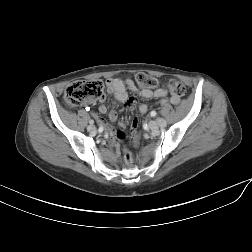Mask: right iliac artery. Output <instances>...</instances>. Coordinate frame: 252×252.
Segmentation results:
<instances>
[{"label": "right iliac artery", "instance_id": "82829eb1", "mask_svg": "<svg viewBox=\"0 0 252 252\" xmlns=\"http://www.w3.org/2000/svg\"><path fill=\"white\" fill-rule=\"evenodd\" d=\"M104 132V128L103 127H100L99 130H98V133L99 134H102Z\"/></svg>", "mask_w": 252, "mask_h": 252}]
</instances>
